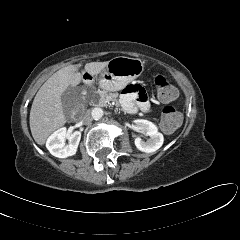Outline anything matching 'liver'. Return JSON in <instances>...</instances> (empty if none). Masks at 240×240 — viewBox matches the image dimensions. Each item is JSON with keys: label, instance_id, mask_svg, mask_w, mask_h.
Here are the masks:
<instances>
[{"label": "liver", "instance_id": "liver-1", "mask_svg": "<svg viewBox=\"0 0 240 240\" xmlns=\"http://www.w3.org/2000/svg\"><path fill=\"white\" fill-rule=\"evenodd\" d=\"M91 62L84 67L90 76L99 74L108 64ZM80 64L69 65L54 73L38 90L30 110V129L35 142L44 145L48 136L66 123L62 94L69 86H77L83 79Z\"/></svg>", "mask_w": 240, "mask_h": 240}]
</instances>
